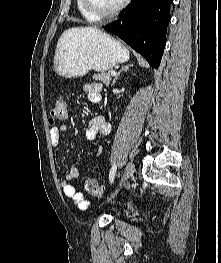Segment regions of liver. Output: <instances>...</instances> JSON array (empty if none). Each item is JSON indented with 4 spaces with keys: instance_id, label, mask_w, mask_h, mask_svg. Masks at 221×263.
I'll list each match as a JSON object with an SVG mask.
<instances>
[{
    "instance_id": "1",
    "label": "liver",
    "mask_w": 221,
    "mask_h": 263,
    "mask_svg": "<svg viewBox=\"0 0 221 263\" xmlns=\"http://www.w3.org/2000/svg\"><path fill=\"white\" fill-rule=\"evenodd\" d=\"M84 29H87V30H90V31H96V30H98V29L93 28V27H87V28H84Z\"/></svg>"
}]
</instances>
